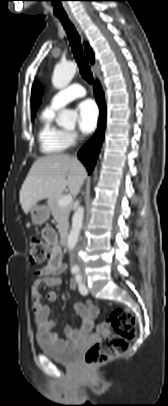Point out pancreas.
Wrapping results in <instances>:
<instances>
[{"label": "pancreas", "instance_id": "pancreas-1", "mask_svg": "<svg viewBox=\"0 0 168 406\" xmlns=\"http://www.w3.org/2000/svg\"><path fill=\"white\" fill-rule=\"evenodd\" d=\"M63 196H57L54 198L48 199V207L53 215V217L58 221V231L60 235H64L67 232V229L69 227V214L71 212L72 206L68 205L65 207H60L58 205L59 199H61Z\"/></svg>", "mask_w": 168, "mask_h": 406}]
</instances>
